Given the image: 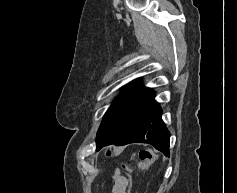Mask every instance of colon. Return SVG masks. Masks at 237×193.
<instances>
[{"mask_svg":"<svg viewBox=\"0 0 237 193\" xmlns=\"http://www.w3.org/2000/svg\"><path fill=\"white\" fill-rule=\"evenodd\" d=\"M111 152L107 151V155H110ZM155 154L150 149H142L139 152L138 160L136 162V166L140 170H147L154 162ZM122 168L125 171L126 176L131 179L133 168L132 165L128 162L122 163Z\"/></svg>","mask_w":237,"mask_h":193,"instance_id":"obj_1","label":"colon"}]
</instances>
